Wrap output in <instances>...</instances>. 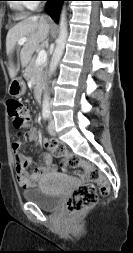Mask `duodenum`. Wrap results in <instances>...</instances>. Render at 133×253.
Returning <instances> with one entry per match:
<instances>
[{"mask_svg":"<svg viewBox=\"0 0 133 253\" xmlns=\"http://www.w3.org/2000/svg\"><path fill=\"white\" fill-rule=\"evenodd\" d=\"M36 94H37L36 100L37 101H42L43 97H44V86L43 85H38L37 86Z\"/></svg>","mask_w":133,"mask_h":253,"instance_id":"1","label":"duodenum"}]
</instances>
